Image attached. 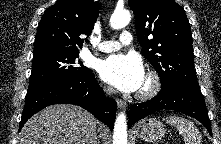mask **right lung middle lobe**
I'll return each mask as SVG.
<instances>
[{"mask_svg": "<svg viewBox=\"0 0 221 144\" xmlns=\"http://www.w3.org/2000/svg\"><path fill=\"white\" fill-rule=\"evenodd\" d=\"M79 52L49 50L34 53L27 91L64 78H85L91 70L78 60Z\"/></svg>", "mask_w": 221, "mask_h": 144, "instance_id": "right-lung-middle-lobe-1", "label": "right lung middle lobe"}]
</instances>
